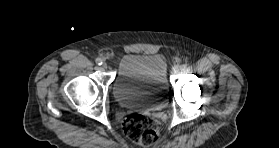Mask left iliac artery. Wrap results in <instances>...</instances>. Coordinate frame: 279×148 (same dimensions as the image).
<instances>
[{"mask_svg": "<svg viewBox=\"0 0 279 148\" xmlns=\"http://www.w3.org/2000/svg\"><path fill=\"white\" fill-rule=\"evenodd\" d=\"M186 67H187V66H186L185 64H183V65L181 66V69H182V70H185Z\"/></svg>", "mask_w": 279, "mask_h": 148, "instance_id": "44dca946", "label": "left iliac artery"}]
</instances>
